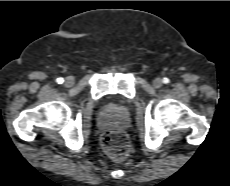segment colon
I'll return each mask as SVG.
<instances>
[{
  "label": "colon",
  "mask_w": 230,
  "mask_h": 186,
  "mask_svg": "<svg viewBox=\"0 0 230 186\" xmlns=\"http://www.w3.org/2000/svg\"><path fill=\"white\" fill-rule=\"evenodd\" d=\"M102 147L107 155L115 161L126 159L130 150L127 136L117 130L107 131L104 134Z\"/></svg>",
  "instance_id": "obj_1"
}]
</instances>
